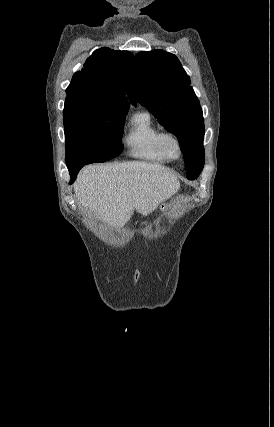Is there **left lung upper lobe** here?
<instances>
[{
	"label": "left lung upper lobe",
	"instance_id": "1",
	"mask_svg": "<svg viewBox=\"0 0 274 427\" xmlns=\"http://www.w3.org/2000/svg\"><path fill=\"white\" fill-rule=\"evenodd\" d=\"M127 96L178 138L187 177L196 178L204 165L203 113L178 58L164 50L138 53L129 71Z\"/></svg>",
	"mask_w": 274,
	"mask_h": 427
}]
</instances>
